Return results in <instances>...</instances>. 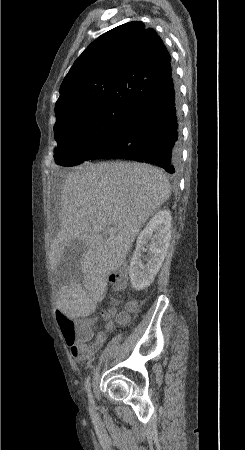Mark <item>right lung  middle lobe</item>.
I'll use <instances>...</instances> for the list:
<instances>
[{
    "mask_svg": "<svg viewBox=\"0 0 245 450\" xmlns=\"http://www.w3.org/2000/svg\"><path fill=\"white\" fill-rule=\"evenodd\" d=\"M131 110L125 105L107 104L56 116V163L75 166L107 149L122 135Z\"/></svg>",
    "mask_w": 245,
    "mask_h": 450,
    "instance_id": "right-lung-middle-lobe-1",
    "label": "right lung middle lobe"
}]
</instances>
